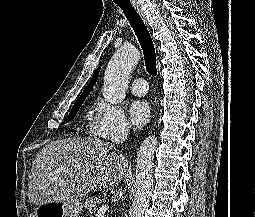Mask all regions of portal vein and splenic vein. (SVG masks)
Listing matches in <instances>:
<instances>
[{
    "label": "portal vein and splenic vein",
    "instance_id": "portal-vein-and-splenic-vein-1",
    "mask_svg": "<svg viewBox=\"0 0 255 217\" xmlns=\"http://www.w3.org/2000/svg\"><path fill=\"white\" fill-rule=\"evenodd\" d=\"M109 209V206L107 204H103L99 210L97 211V217H101L105 214V212Z\"/></svg>",
    "mask_w": 255,
    "mask_h": 217
}]
</instances>
